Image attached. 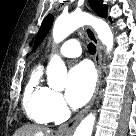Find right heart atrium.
<instances>
[{
  "label": "right heart atrium",
  "mask_w": 136,
  "mask_h": 136,
  "mask_svg": "<svg viewBox=\"0 0 136 136\" xmlns=\"http://www.w3.org/2000/svg\"><path fill=\"white\" fill-rule=\"evenodd\" d=\"M48 107L54 120H61L67 115V107L62 95L51 90L48 97Z\"/></svg>",
  "instance_id": "d8ad5b80"
}]
</instances>
